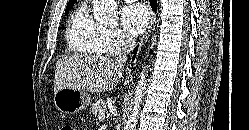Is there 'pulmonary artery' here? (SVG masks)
<instances>
[{"label": "pulmonary artery", "mask_w": 249, "mask_h": 130, "mask_svg": "<svg viewBox=\"0 0 249 130\" xmlns=\"http://www.w3.org/2000/svg\"><path fill=\"white\" fill-rule=\"evenodd\" d=\"M125 1H127V2H134V1H136V0H125Z\"/></svg>", "instance_id": "1"}]
</instances>
